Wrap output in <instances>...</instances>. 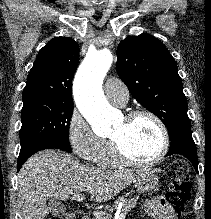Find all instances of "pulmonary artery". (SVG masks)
I'll use <instances>...</instances> for the list:
<instances>
[{"label":"pulmonary artery","instance_id":"e3ab8cb5","mask_svg":"<svg viewBox=\"0 0 211 219\" xmlns=\"http://www.w3.org/2000/svg\"><path fill=\"white\" fill-rule=\"evenodd\" d=\"M104 92L107 99L117 106H125L129 99L126 85L117 78H109L104 83Z\"/></svg>","mask_w":211,"mask_h":219}]
</instances>
